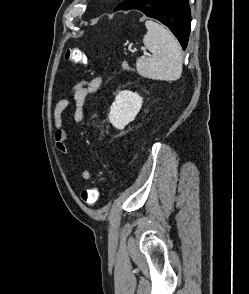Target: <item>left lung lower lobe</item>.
<instances>
[{
  "label": "left lung lower lobe",
  "instance_id": "left-lung-lower-lobe-1",
  "mask_svg": "<svg viewBox=\"0 0 249 294\" xmlns=\"http://www.w3.org/2000/svg\"><path fill=\"white\" fill-rule=\"evenodd\" d=\"M137 9L169 27L186 49L190 34L191 13L188 0H125L114 11Z\"/></svg>",
  "mask_w": 249,
  "mask_h": 294
}]
</instances>
